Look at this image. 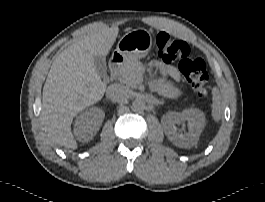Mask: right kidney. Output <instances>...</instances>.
<instances>
[{
  "label": "right kidney",
  "instance_id": "1",
  "mask_svg": "<svg viewBox=\"0 0 265 202\" xmlns=\"http://www.w3.org/2000/svg\"><path fill=\"white\" fill-rule=\"evenodd\" d=\"M105 113L98 107H92L79 116H77L74 124V134L81 142H88L100 129Z\"/></svg>",
  "mask_w": 265,
  "mask_h": 202
}]
</instances>
